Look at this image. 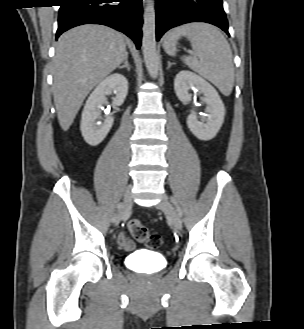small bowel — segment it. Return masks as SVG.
Instances as JSON below:
<instances>
[{
	"mask_svg": "<svg viewBox=\"0 0 304 329\" xmlns=\"http://www.w3.org/2000/svg\"><path fill=\"white\" fill-rule=\"evenodd\" d=\"M117 241L120 247L125 251H132L135 249L134 243L124 233L118 235Z\"/></svg>",
	"mask_w": 304,
	"mask_h": 329,
	"instance_id": "small-bowel-1",
	"label": "small bowel"
}]
</instances>
